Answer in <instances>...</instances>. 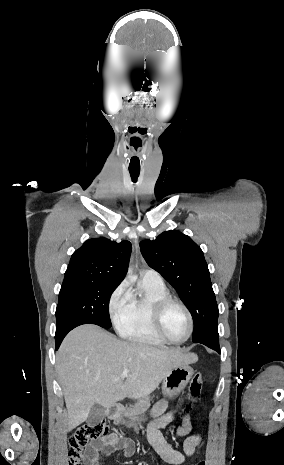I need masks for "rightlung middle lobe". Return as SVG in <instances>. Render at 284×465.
I'll return each mask as SVG.
<instances>
[{
	"mask_svg": "<svg viewBox=\"0 0 284 465\" xmlns=\"http://www.w3.org/2000/svg\"><path fill=\"white\" fill-rule=\"evenodd\" d=\"M117 286L81 278L64 279L56 309V330L73 323L110 328L109 299Z\"/></svg>",
	"mask_w": 284,
	"mask_h": 465,
	"instance_id": "1",
	"label": "right lung middle lobe"
}]
</instances>
